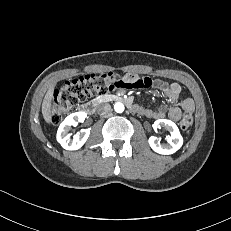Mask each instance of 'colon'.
Returning <instances> with one entry per match:
<instances>
[{
    "label": "colon",
    "mask_w": 231,
    "mask_h": 231,
    "mask_svg": "<svg viewBox=\"0 0 231 231\" xmlns=\"http://www.w3.org/2000/svg\"><path fill=\"white\" fill-rule=\"evenodd\" d=\"M123 79L115 73L87 74L73 79L66 80L54 90L51 109V120L58 124L64 116L71 112L79 103L101 94H105L116 90V85L120 84L119 80ZM151 80L148 77H139L133 81H125L121 88L126 87V82H142V87L148 88L151 85L147 81ZM152 81V80H151ZM193 123L191 113H185L180 121V128L183 131H188Z\"/></svg>",
    "instance_id": "1"
}]
</instances>
